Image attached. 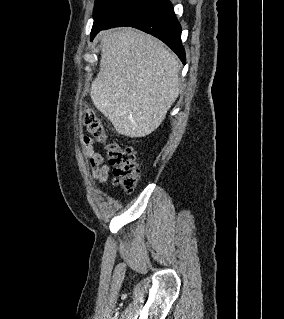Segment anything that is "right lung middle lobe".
Masks as SVG:
<instances>
[{
	"instance_id": "right-lung-middle-lobe-1",
	"label": "right lung middle lobe",
	"mask_w": 284,
	"mask_h": 319,
	"mask_svg": "<svg viewBox=\"0 0 284 319\" xmlns=\"http://www.w3.org/2000/svg\"><path fill=\"white\" fill-rule=\"evenodd\" d=\"M136 0H96L91 34L108 24L116 15Z\"/></svg>"
}]
</instances>
